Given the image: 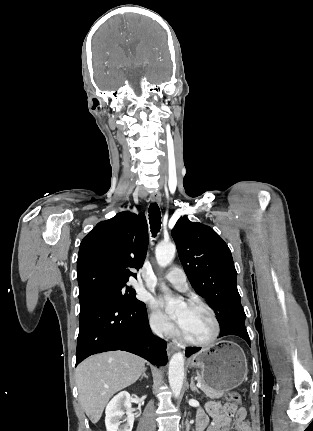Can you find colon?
<instances>
[{"label":"colon","mask_w":313,"mask_h":431,"mask_svg":"<svg viewBox=\"0 0 313 431\" xmlns=\"http://www.w3.org/2000/svg\"><path fill=\"white\" fill-rule=\"evenodd\" d=\"M226 412H229L231 408L237 407L241 403V396L236 391H230L226 395Z\"/></svg>","instance_id":"colon-1"}]
</instances>
